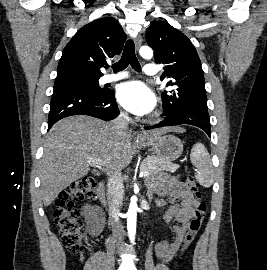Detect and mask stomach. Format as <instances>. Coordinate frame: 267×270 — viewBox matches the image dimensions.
<instances>
[{
	"label": "stomach",
	"instance_id": "obj_1",
	"mask_svg": "<svg viewBox=\"0 0 267 270\" xmlns=\"http://www.w3.org/2000/svg\"><path fill=\"white\" fill-rule=\"evenodd\" d=\"M154 154L165 161H173L183 152V143L179 138L171 134H163L149 144Z\"/></svg>",
	"mask_w": 267,
	"mask_h": 270
}]
</instances>
